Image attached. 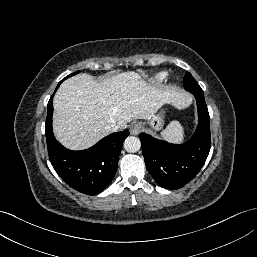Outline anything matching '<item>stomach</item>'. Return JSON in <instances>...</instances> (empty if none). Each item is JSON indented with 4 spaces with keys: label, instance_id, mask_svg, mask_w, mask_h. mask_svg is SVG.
Listing matches in <instances>:
<instances>
[{
    "label": "stomach",
    "instance_id": "obj_1",
    "mask_svg": "<svg viewBox=\"0 0 257 257\" xmlns=\"http://www.w3.org/2000/svg\"><path fill=\"white\" fill-rule=\"evenodd\" d=\"M151 127L154 129V130H160L162 129L163 127V124H164V120H163V116L162 114H158V115H155L153 116V118L150 120V123Z\"/></svg>",
    "mask_w": 257,
    "mask_h": 257
}]
</instances>
